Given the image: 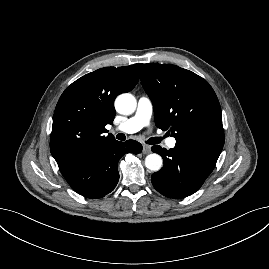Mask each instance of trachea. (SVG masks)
Returning a JSON list of instances; mask_svg holds the SVG:
<instances>
[{
  "label": "trachea",
  "instance_id": "1",
  "mask_svg": "<svg viewBox=\"0 0 269 269\" xmlns=\"http://www.w3.org/2000/svg\"><path fill=\"white\" fill-rule=\"evenodd\" d=\"M117 139L119 140H125V135L124 134H118ZM161 142V138L155 137V138H150L147 143L148 144H158Z\"/></svg>",
  "mask_w": 269,
  "mask_h": 269
}]
</instances>
